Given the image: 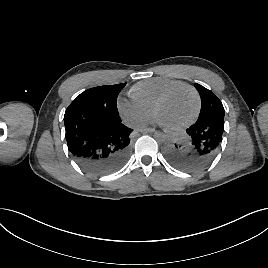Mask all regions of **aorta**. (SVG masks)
Here are the masks:
<instances>
[{"instance_id":"aorta-1","label":"aorta","mask_w":268,"mask_h":268,"mask_svg":"<svg viewBox=\"0 0 268 268\" xmlns=\"http://www.w3.org/2000/svg\"><path fill=\"white\" fill-rule=\"evenodd\" d=\"M154 137L157 141L162 142L166 139L167 134L164 130L159 129L155 132Z\"/></svg>"}]
</instances>
